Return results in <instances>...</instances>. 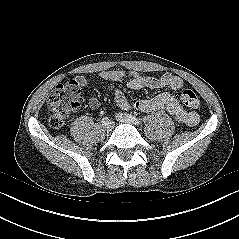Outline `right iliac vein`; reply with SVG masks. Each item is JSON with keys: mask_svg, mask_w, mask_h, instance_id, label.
Here are the masks:
<instances>
[{"mask_svg": "<svg viewBox=\"0 0 239 239\" xmlns=\"http://www.w3.org/2000/svg\"><path fill=\"white\" fill-rule=\"evenodd\" d=\"M104 127L107 131H110L114 128V126H109V125H106V123L104 124Z\"/></svg>", "mask_w": 239, "mask_h": 239, "instance_id": "obj_1", "label": "right iliac vein"}]
</instances>
